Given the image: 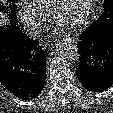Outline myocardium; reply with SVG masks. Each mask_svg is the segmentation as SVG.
<instances>
[{"mask_svg": "<svg viewBox=\"0 0 113 113\" xmlns=\"http://www.w3.org/2000/svg\"><path fill=\"white\" fill-rule=\"evenodd\" d=\"M65 1L66 0H55L52 4L51 15L57 24H60V10ZM93 1L94 0H87L80 18L64 26L69 29H76L87 24L91 16Z\"/></svg>", "mask_w": 113, "mask_h": 113, "instance_id": "f54148a6", "label": "myocardium"}]
</instances>
